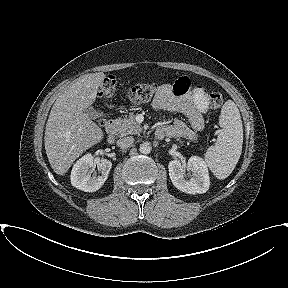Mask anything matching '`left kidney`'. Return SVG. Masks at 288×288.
Instances as JSON below:
<instances>
[{"label":"left kidney","instance_id":"1","mask_svg":"<svg viewBox=\"0 0 288 288\" xmlns=\"http://www.w3.org/2000/svg\"><path fill=\"white\" fill-rule=\"evenodd\" d=\"M168 169L173 185L180 191L188 194H202L208 191L209 173L202 158L192 156L186 166L179 160H172L169 162ZM186 170L189 172L188 179L185 178Z\"/></svg>","mask_w":288,"mask_h":288}]
</instances>
